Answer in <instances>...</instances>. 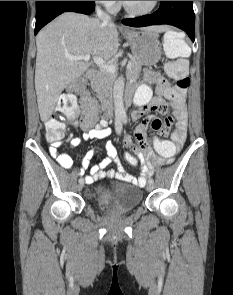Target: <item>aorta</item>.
<instances>
[{
	"label": "aorta",
	"instance_id": "1",
	"mask_svg": "<svg viewBox=\"0 0 233 295\" xmlns=\"http://www.w3.org/2000/svg\"><path fill=\"white\" fill-rule=\"evenodd\" d=\"M123 92H124V78L120 77L115 84L114 94H113L115 112L119 116H125Z\"/></svg>",
	"mask_w": 233,
	"mask_h": 295
}]
</instances>
